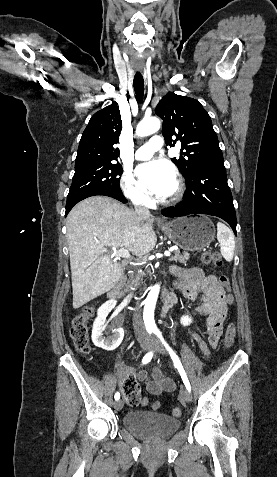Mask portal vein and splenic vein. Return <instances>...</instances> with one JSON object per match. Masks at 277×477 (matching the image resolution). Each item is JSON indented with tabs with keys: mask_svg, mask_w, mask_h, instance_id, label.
I'll use <instances>...</instances> for the list:
<instances>
[{
	"mask_svg": "<svg viewBox=\"0 0 277 477\" xmlns=\"http://www.w3.org/2000/svg\"><path fill=\"white\" fill-rule=\"evenodd\" d=\"M112 254L116 257H123V258L130 259V260L132 259V256L130 255L129 251L124 249V248H121L119 250L113 249ZM164 255L167 256V257H170L171 256V250L165 251ZM137 264H139V263H137Z\"/></svg>",
	"mask_w": 277,
	"mask_h": 477,
	"instance_id": "obj_1",
	"label": "portal vein and splenic vein"
}]
</instances>
